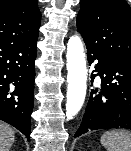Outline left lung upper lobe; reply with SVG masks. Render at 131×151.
<instances>
[{"mask_svg":"<svg viewBox=\"0 0 131 151\" xmlns=\"http://www.w3.org/2000/svg\"><path fill=\"white\" fill-rule=\"evenodd\" d=\"M77 29L86 46L131 65V8L125 0H80Z\"/></svg>","mask_w":131,"mask_h":151,"instance_id":"5c2ea615","label":"left lung upper lobe"}]
</instances>
